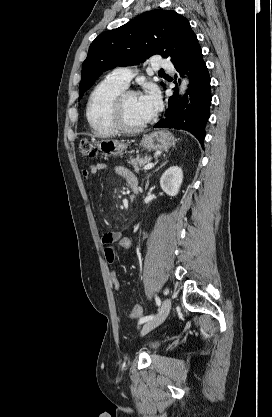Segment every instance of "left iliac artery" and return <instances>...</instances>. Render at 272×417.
I'll return each instance as SVG.
<instances>
[{"instance_id":"obj_1","label":"left iliac artery","mask_w":272,"mask_h":417,"mask_svg":"<svg viewBox=\"0 0 272 417\" xmlns=\"http://www.w3.org/2000/svg\"><path fill=\"white\" fill-rule=\"evenodd\" d=\"M155 302L158 306L161 305V300L157 295L155 296ZM152 318H154V315H148V316L142 317V318H140L138 324L145 323V322L151 320Z\"/></svg>"}]
</instances>
